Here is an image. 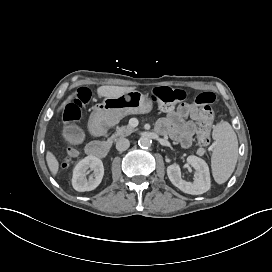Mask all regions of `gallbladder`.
I'll use <instances>...</instances> for the list:
<instances>
[{
	"label": "gallbladder",
	"mask_w": 272,
	"mask_h": 272,
	"mask_svg": "<svg viewBox=\"0 0 272 272\" xmlns=\"http://www.w3.org/2000/svg\"><path fill=\"white\" fill-rule=\"evenodd\" d=\"M63 134L70 138L71 144H78L84 139V132L77 125L65 127Z\"/></svg>",
	"instance_id": "bac80fb5"
}]
</instances>
